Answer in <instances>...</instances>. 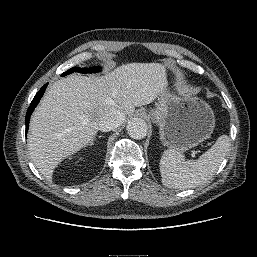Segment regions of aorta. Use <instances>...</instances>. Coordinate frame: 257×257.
Returning a JSON list of instances; mask_svg holds the SVG:
<instances>
[{
  "instance_id": "obj_1",
  "label": "aorta",
  "mask_w": 257,
  "mask_h": 257,
  "mask_svg": "<svg viewBox=\"0 0 257 257\" xmlns=\"http://www.w3.org/2000/svg\"><path fill=\"white\" fill-rule=\"evenodd\" d=\"M129 136L133 139H142L147 135V124L146 122L138 117L132 118L126 126Z\"/></svg>"
}]
</instances>
